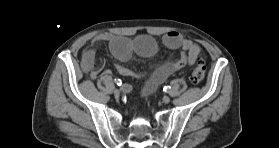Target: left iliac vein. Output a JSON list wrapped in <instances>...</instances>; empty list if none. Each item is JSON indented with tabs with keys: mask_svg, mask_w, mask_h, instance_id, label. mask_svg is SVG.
Wrapping results in <instances>:
<instances>
[{
	"mask_svg": "<svg viewBox=\"0 0 279 148\" xmlns=\"http://www.w3.org/2000/svg\"><path fill=\"white\" fill-rule=\"evenodd\" d=\"M162 101H163L164 103L167 104V103L170 102V97H168V96H163Z\"/></svg>",
	"mask_w": 279,
	"mask_h": 148,
	"instance_id": "1",
	"label": "left iliac vein"
}]
</instances>
